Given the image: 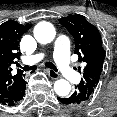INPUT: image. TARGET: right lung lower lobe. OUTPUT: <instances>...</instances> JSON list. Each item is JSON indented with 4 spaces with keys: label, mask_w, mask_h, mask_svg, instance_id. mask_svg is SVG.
I'll return each mask as SVG.
<instances>
[{
    "label": "right lung lower lobe",
    "mask_w": 117,
    "mask_h": 117,
    "mask_svg": "<svg viewBox=\"0 0 117 117\" xmlns=\"http://www.w3.org/2000/svg\"><path fill=\"white\" fill-rule=\"evenodd\" d=\"M26 83L24 79L18 80L11 88L6 97L0 100V104L5 106H16L24 96Z\"/></svg>",
    "instance_id": "right-lung-lower-lobe-1"
}]
</instances>
